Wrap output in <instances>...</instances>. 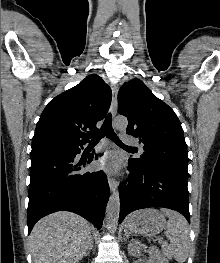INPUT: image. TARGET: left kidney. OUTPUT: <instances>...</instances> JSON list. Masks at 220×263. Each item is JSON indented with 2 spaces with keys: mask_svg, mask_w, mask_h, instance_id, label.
<instances>
[{
  "mask_svg": "<svg viewBox=\"0 0 220 263\" xmlns=\"http://www.w3.org/2000/svg\"><path fill=\"white\" fill-rule=\"evenodd\" d=\"M128 251L131 256H136L141 252V242L137 240H132L128 245ZM149 255L152 259V263H169L167 258H165L158 248L152 246L149 248Z\"/></svg>",
  "mask_w": 220,
  "mask_h": 263,
  "instance_id": "left-kidney-1",
  "label": "left kidney"
}]
</instances>
